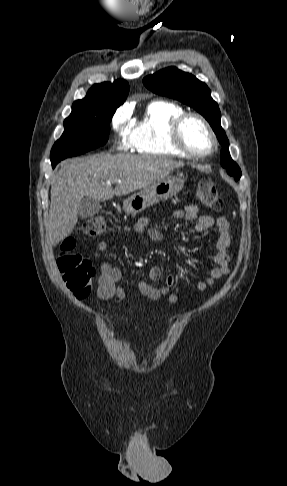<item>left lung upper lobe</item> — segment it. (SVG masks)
<instances>
[{
  "mask_svg": "<svg viewBox=\"0 0 287 486\" xmlns=\"http://www.w3.org/2000/svg\"><path fill=\"white\" fill-rule=\"evenodd\" d=\"M144 85L156 94L179 100L198 111L210 123L222 145L221 165L227 173L240 179L242 173L229 153V141L221 127V113L218 104L212 99L208 86L195 76L176 67H169L143 79Z\"/></svg>",
  "mask_w": 287,
  "mask_h": 486,
  "instance_id": "1",
  "label": "left lung upper lobe"
}]
</instances>
